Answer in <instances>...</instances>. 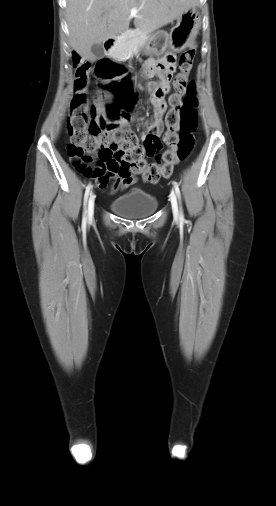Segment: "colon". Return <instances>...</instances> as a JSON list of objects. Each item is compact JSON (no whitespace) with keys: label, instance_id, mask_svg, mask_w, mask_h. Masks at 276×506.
Listing matches in <instances>:
<instances>
[{"label":"colon","instance_id":"obj_1","mask_svg":"<svg viewBox=\"0 0 276 506\" xmlns=\"http://www.w3.org/2000/svg\"><path fill=\"white\" fill-rule=\"evenodd\" d=\"M113 53V48H111ZM196 54V44L190 45L178 60L179 72L173 78L174 93L169 97L170 109L165 116L167 129L163 141L168 149L160 161L148 164L146 156L155 153L161 147L160 136L148 133L139 143L137 135L119 127L122 121L130 120L129 111L135 106V100L125 103L124 98L132 89L130 79L138 77L135 70H124V79L112 83H101L100 90L110 99L103 103H91L85 93L89 83L90 64L85 62L81 51L70 50L69 62L75 67V85L78 93L73 97L66 118V128L70 136L67 155L72 166L87 177H97L104 173L106 163L113 157L120 159L122 167L128 172L141 174L148 183H157L161 177L172 175L176 164L186 160L195 146V132L198 125L197 98L195 85L188 79ZM123 62V57H117ZM100 64L96 65V76L109 79L117 76L118 68L107 65L109 56L101 54ZM172 62V59H169ZM162 70L165 67L162 66ZM163 95L157 88L151 92L152 102ZM94 161L93 166L89 165Z\"/></svg>","mask_w":276,"mask_h":506}]
</instances>
